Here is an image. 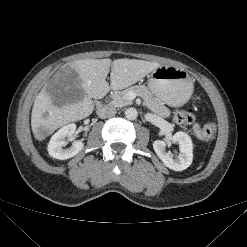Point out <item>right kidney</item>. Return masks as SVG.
<instances>
[{
  "label": "right kidney",
  "instance_id": "1",
  "mask_svg": "<svg viewBox=\"0 0 247 247\" xmlns=\"http://www.w3.org/2000/svg\"><path fill=\"white\" fill-rule=\"evenodd\" d=\"M76 129L74 123L65 125L58 130L50 139L48 144L49 154L56 159L66 160L74 157L84 147V143L81 140L74 141L72 146L64 149L63 147L67 144V139H70Z\"/></svg>",
  "mask_w": 247,
  "mask_h": 247
}]
</instances>
